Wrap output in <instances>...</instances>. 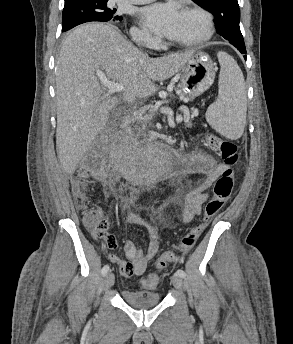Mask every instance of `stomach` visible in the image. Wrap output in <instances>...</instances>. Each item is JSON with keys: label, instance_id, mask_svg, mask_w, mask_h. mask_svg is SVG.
I'll return each instance as SVG.
<instances>
[{"label": "stomach", "instance_id": "1", "mask_svg": "<svg viewBox=\"0 0 293 344\" xmlns=\"http://www.w3.org/2000/svg\"><path fill=\"white\" fill-rule=\"evenodd\" d=\"M216 68L210 57L203 53H194L176 73L179 88L189 97L201 95L213 84Z\"/></svg>", "mask_w": 293, "mask_h": 344}]
</instances>
